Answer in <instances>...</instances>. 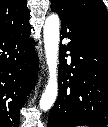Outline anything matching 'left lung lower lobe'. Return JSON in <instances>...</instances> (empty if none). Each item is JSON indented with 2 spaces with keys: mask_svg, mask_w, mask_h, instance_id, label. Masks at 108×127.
Here are the masks:
<instances>
[{
  "mask_svg": "<svg viewBox=\"0 0 108 127\" xmlns=\"http://www.w3.org/2000/svg\"><path fill=\"white\" fill-rule=\"evenodd\" d=\"M61 19L59 93L48 127L108 126V27L64 2H51ZM71 52V64L65 57Z\"/></svg>",
  "mask_w": 108,
  "mask_h": 127,
  "instance_id": "obj_1",
  "label": "left lung lower lobe"
}]
</instances>
